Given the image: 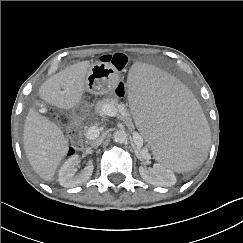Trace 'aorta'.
Wrapping results in <instances>:
<instances>
[{
    "label": "aorta",
    "mask_w": 243,
    "mask_h": 243,
    "mask_svg": "<svg viewBox=\"0 0 243 243\" xmlns=\"http://www.w3.org/2000/svg\"><path fill=\"white\" fill-rule=\"evenodd\" d=\"M113 140L116 143H125L128 140V135L125 130H117L113 133Z\"/></svg>",
    "instance_id": "762f6f07"
}]
</instances>
